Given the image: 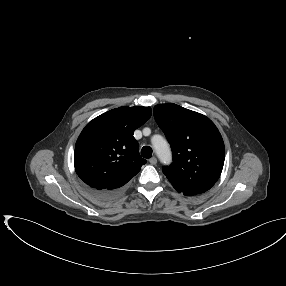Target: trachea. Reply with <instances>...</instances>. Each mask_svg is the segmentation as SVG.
I'll list each match as a JSON object with an SVG mask.
<instances>
[{
  "instance_id": "3493384b",
  "label": "trachea",
  "mask_w": 286,
  "mask_h": 286,
  "mask_svg": "<svg viewBox=\"0 0 286 286\" xmlns=\"http://www.w3.org/2000/svg\"><path fill=\"white\" fill-rule=\"evenodd\" d=\"M141 155L144 157V158H151L152 156V148L150 146H144L142 149H141Z\"/></svg>"
}]
</instances>
